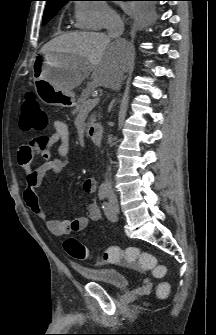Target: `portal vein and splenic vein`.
I'll return each instance as SVG.
<instances>
[{"mask_svg": "<svg viewBox=\"0 0 216 335\" xmlns=\"http://www.w3.org/2000/svg\"><path fill=\"white\" fill-rule=\"evenodd\" d=\"M100 101V97L97 96L94 99H92L89 103V108H93L94 106H96Z\"/></svg>", "mask_w": 216, "mask_h": 335, "instance_id": "1", "label": "portal vein and splenic vein"}]
</instances>
